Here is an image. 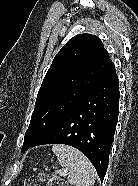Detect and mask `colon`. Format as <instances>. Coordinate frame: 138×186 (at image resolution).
I'll list each match as a JSON object with an SVG mask.
<instances>
[{"label": "colon", "instance_id": "obj_1", "mask_svg": "<svg viewBox=\"0 0 138 186\" xmlns=\"http://www.w3.org/2000/svg\"><path fill=\"white\" fill-rule=\"evenodd\" d=\"M44 182L46 186H67L64 180L55 174H39L31 177L27 186H42Z\"/></svg>", "mask_w": 138, "mask_h": 186}]
</instances>
